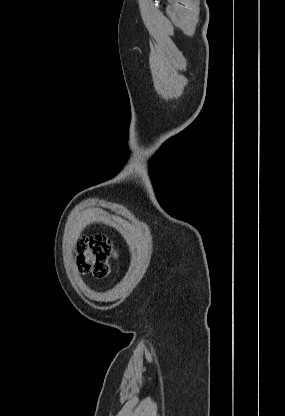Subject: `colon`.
Listing matches in <instances>:
<instances>
[{"mask_svg": "<svg viewBox=\"0 0 285 416\" xmlns=\"http://www.w3.org/2000/svg\"><path fill=\"white\" fill-rule=\"evenodd\" d=\"M116 251L105 235L82 237L76 247L77 267L80 273L105 277L110 271L109 261Z\"/></svg>", "mask_w": 285, "mask_h": 416, "instance_id": "1", "label": "colon"}]
</instances>
